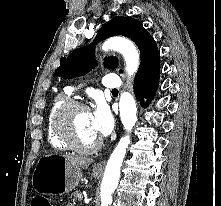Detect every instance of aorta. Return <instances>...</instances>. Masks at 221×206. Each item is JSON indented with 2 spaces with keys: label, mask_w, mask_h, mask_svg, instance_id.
<instances>
[{
  "label": "aorta",
  "mask_w": 221,
  "mask_h": 206,
  "mask_svg": "<svg viewBox=\"0 0 221 206\" xmlns=\"http://www.w3.org/2000/svg\"><path fill=\"white\" fill-rule=\"evenodd\" d=\"M102 50L121 53L126 63L128 77L136 73L140 61L139 52L130 40L119 36L111 37L103 43ZM119 110L124 129L130 132L137 121V108L130 92L121 94ZM129 143V135L122 137L108 159L100 189L101 206H109L112 203V195L118 186L120 169Z\"/></svg>",
  "instance_id": "762f6f07"
}]
</instances>
